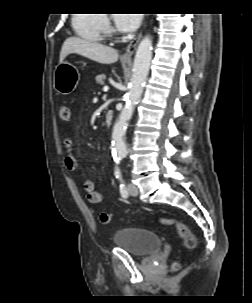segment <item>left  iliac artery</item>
<instances>
[{
	"label": "left iliac artery",
	"mask_w": 252,
	"mask_h": 303,
	"mask_svg": "<svg viewBox=\"0 0 252 303\" xmlns=\"http://www.w3.org/2000/svg\"><path fill=\"white\" fill-rule=\"evenodd\" d=\"M115 176L120 181V193H121V196L124 197V198L127 197L128 196V191H127L125 182H124V180L122 178V175H121V172H120L119 168H115Z\"/></svg>",
	"instance_id": "1"
}]
</instances>
